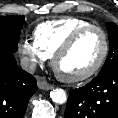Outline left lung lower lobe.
I'll list each match as a JSON object with an SVG mask.
<instances>
[{
  "mask_svg": "<svg viewBox=\"0 0 118 118\" xmlns=\"http://www.w3.org/2000/svg\"><path fill=\"white\" fill-rule=\"evenodd\" d=\"M65 118H118V68L70 90Z\"/></svg>",
  "mask_w": 118,
  "mask_h": 118,
  "instance_id": "left-lung-lower-lobe-1",
  "label": "left lung lower lobe"
}]
</instances>
